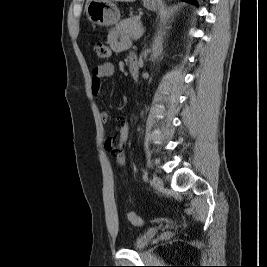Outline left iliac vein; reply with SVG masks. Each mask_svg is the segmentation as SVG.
<instances>
[{
    "mask_svg": "<svg viewBox=\"0 0 267 267\" xmlns=\"http://www.w3.org/2000/svg\"><path fill=\"white\" fill-rule=\"evenodd\" d=\"M152 184L155 187V189H157V190L163 189V186H164L163 180L160 177H158L157 175L153 176Z\"/></svg>",
    "mask_w": 267,
    "mask_h": 267,
    "instance_id": "left-iliac-vein-1",
    "label": "left iliac vein"
}]
</instances>
